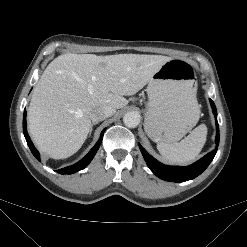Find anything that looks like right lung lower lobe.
Here are the masks:
<instances>
[{"instance_id": "right-lung-lower-lobe-1", "label": "right lung lower lobe", "mask_w": 247, "mask_h": 247, "mask_svg": "<svg viewBox=\"0 0 247 247\" xmlns=\"http://www.w3.org/2000/svg\"><path fill=\"white\" fill-rule=\"evenodd\" d=\"M23 133H24L25 139L27 141V144H28L31 152L37 158V160L40 161L39 153L35 149L32 141L30 140V138L28 136L27 130H26V111H24V116H23ZM103 133H104V130L102 131L101 137L98 140V142L95 144V146L88 152V154L82 160H80L78 163H76V164H74L72 166L59 169V170H57V172L60 173V174H73V173H76V172L84 169L91 162V160L93 159L94 155L98 151L99 146H100V144L102 142Z\"/></svg>"}]
</instances>
